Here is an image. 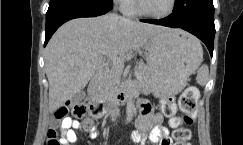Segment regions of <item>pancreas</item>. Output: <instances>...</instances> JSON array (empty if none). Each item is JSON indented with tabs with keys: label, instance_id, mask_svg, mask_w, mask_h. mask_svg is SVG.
<instances>
[{
	"label": "pancreas",
	"instance_id": "cf45deb5",
	"mask_svg": "<svg viewBox=\"0 0 243 145\" xmlns=\"http://www.w3.org/2000/svg\"><path fill=\"white\" fill-rule=\"evenodd\" d=\"M136 76L144 85L149 81V72L147 67L140 65L135 68ZM122 69L114 63L104 70L97 81V90L103 93L109 92L120 82Z\"/></svg>",
	"mask_w": 243,
	"mask_h": 145
}]
</instances>
